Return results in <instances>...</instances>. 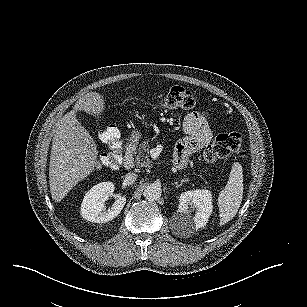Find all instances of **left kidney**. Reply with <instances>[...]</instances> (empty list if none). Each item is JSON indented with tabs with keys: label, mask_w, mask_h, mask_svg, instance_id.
I'll return each mask as SVG.
<instances>
[{
	"label": "left kidney",
	"mask_w": 307,
	"mask_h": 307,
	"mask_svg": "<svg viewBox=\"0 0 307 307\" xmlns=\"http://www.w3.org/2000/svg\"><path fill=\"white\" fill-rule=\"evenodd\" d=\"M193 210H195L194 215H192ZM212 210L211 191L196 189L182 193L179 197L177 213L172 222L175 231L192 234L208 223Z\"/></svg>",
	"instance_id": "left-kidney-1"
}]
</instances>
